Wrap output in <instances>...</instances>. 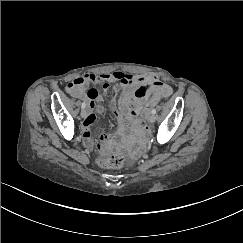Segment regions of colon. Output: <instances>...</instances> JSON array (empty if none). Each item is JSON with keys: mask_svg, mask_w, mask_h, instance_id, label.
<instances>
[{"mask_svg": "<svg viewBox=\"0 0 243 243\" xmlns=\"http://www.w3.org/2000/svg\"><path fill=\"white\" fill-rule=\"evenodd\" d=\"M108 123H109V120L107 118H105L103 120V124L107 125ZM99 162L102 166L112 167V168H120L125 165V159L119 155H112L108 158H102L99 160Z\"/></svg>", "mask_w": 243, "mask_h": 243, "instance_id": "obj_1", "label": "colon"}]
</instances>
